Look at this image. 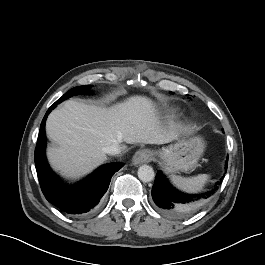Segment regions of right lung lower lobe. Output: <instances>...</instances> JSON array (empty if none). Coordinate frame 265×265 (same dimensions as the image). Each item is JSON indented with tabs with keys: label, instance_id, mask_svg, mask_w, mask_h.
<instances>
[{
	"label": "right lung lower lobe",
	"instance_id": "1",
	"mask_svg": "<svg viewBox=\"0 0 265 265\" xmlns=\"http://www.w3.org/2000/svg\"><path fill=\"white\" fill-rule=\"evenodd\" d=\"M55 102L46 112L35 149V166L42 192L46 199L61 211L72 215H84L91 211L106 193L111 177L123 163H110L101 166L94 173L76 185L63 183L51 170L45 156V121L56 107Z\"/></svg>",
	"mask_w": 265,
	"mask_h": 265
}]
</instances>
